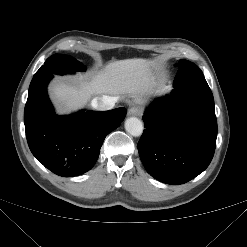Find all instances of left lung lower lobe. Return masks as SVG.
<instances>
[{"mask_svg":"<svg viewBox=\"0 0 247 247\" xmlns=\"http://www.w3.org/2000/svg\"><path fill=\"white\" fill-rule=\"evenodd\" d=\"M143 121L146 129L138 152L152 177L179 185L208 167L217 137L214 99L208 84L174 86L170 96L152 103Z\"/></svg>","mask_w":247,"mask_h":247,"instance_id":"obj_1","label":"left lung lower lobe"}]
</instances>
